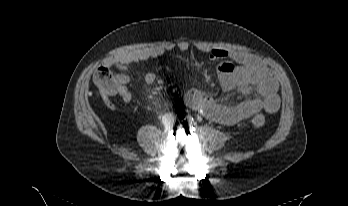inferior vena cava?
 Segmentation results:
<instances>
[{
	"instance_id": "inferior-vena-cava-1",
	"label": "inferior vena cava",
	"mask_w": 348,
	"mask_h": 206,
	"mask_svg": "<svg viewBox=\"0 0 348 206\" xmlns=\"http://www.w3.org/2000/svg\"><path fill=\"white\" fill-rule=\"evenodd\" d=\"M166 120L167 121H173V115L172 114H168L167 116H166Z\"/></svg>"
}]
</instances>
